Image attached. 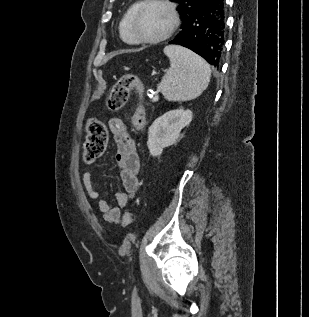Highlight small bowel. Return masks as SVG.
<instances>
[{
    "label": "small bowel",
    "instance_id": "c3829d8e",
    "mask_svg": "<svg viewBox=\"0 0 309 317\" xmlns=\"http://www.w3.org/2000/svg\"><path fill=\"white\" fill-rule=\"evenodd\" d=\"M108 124L116 146L115 159L120 169L123 190L116 193L114 206L105 199H99L100 191L95 186L90 171L84 173L83 184L90 198L99 199V208L104 220L109 223H119L122 220V210L129 206L140 187L138 178L140 159L136 143L125 122L120 118H111Z\"/></svg>",
    "mask_w": 309,
    "mask_h": 317
}]
</instances>
